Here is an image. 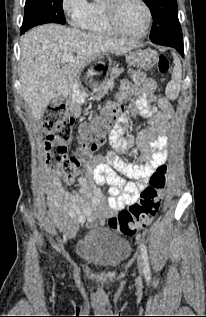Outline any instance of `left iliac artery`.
I'll return each mask as SVG.
<instances>
[{
	"mask_svg": "<svg viewBox=\"0 0 206 317\" xmlns=\"http://www.w3.org/2000/svg\"><path fill=\"white\" fill-rule=\"evenodd\" d=\"M140 249H141V254H142V258H143L144 266H145L144 272H145V275L149 278L151 273H150V265L148 260L147 248L143 243H141Z\"/></svg>",
	"mask_w": 206,
	"mask_h": 317,
	"instance_id": "1",
	"label": "left iliac artery"
}]
</instances>
